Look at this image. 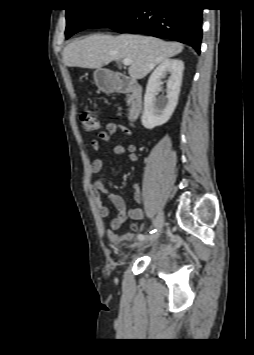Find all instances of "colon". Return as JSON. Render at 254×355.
Instances as JSON below:
<instances>
[{"mask_svg": "<svg viewBox=\"0 0 254 355\" xmlns=\"http://www.w3.org/2000/svg\"><path fill=\"white\" fill-rule=\"evenodd\" d=\"M80 121L83 130L87 132H93L99 128V121L97 117L89 111H85L81 114Z\"/></svg>", "mask_w": 254, "mask_h": 355, "instance_id": "colon-1", "label": "colon"}]
</instances>
